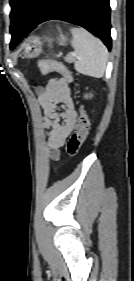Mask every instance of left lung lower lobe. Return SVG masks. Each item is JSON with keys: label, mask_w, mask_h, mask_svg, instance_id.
<instances>
[{"label": "left lung lower lobe", "mask_w": 134, "mask_h": 281, "mask_svg": "<svg viewBox=\"0 0 134 281\" xmlns=\"http://www.w3.org/2000/svg\"><path fill=\"white\" fill-rule=\"evenodd\" d=\"M109 0H45L22 33L11 32L15 46L38 24L58 19L82 26L111 49Z\"/></svg>", "instance_id": "1"}]
</instances>
